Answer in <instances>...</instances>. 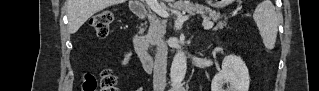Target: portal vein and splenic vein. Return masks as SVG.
<instances>
[{
	"label": "portal vein and splenic vein",
	"instance_id": "portal-vein-and-splenic-vein-1",
	"mask_svg": "<svg viewBox=\"0 0 319 91\" xmlns=\"http://www.w3.org/2000/svg\"><path fill=\"white\" fill-rule=\"evenodd\" d=\"M148 5L151 8L153 12H155L157 15H159L162 18L168 17V12L164 10L160 4L157 2V0H148ZM214 26V23L212 21H205L204 22V28L205 29H211Z\"/></svg>",
	"mask_w": 319,
	"mask_h": 91
}]
</instances>
